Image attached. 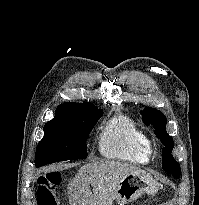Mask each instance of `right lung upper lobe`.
<instances>
[{"label": "right lung upper lobe", "mask_w": 199, "mask_h": 205, "mask_svg": "<svg viewBox=\"0 0 199 205\" xmlns=\"http://www.w3.org/2000/svg\"><path fill=\"white\" fill-rule=\"evenodd\" d=\"M74 104H91V103H71V102H67V103H63V104H60L57 108L59 107H63V106H67V105H74Z\"/></svg>", "instance_id": "obj_1"}]
</instances>
